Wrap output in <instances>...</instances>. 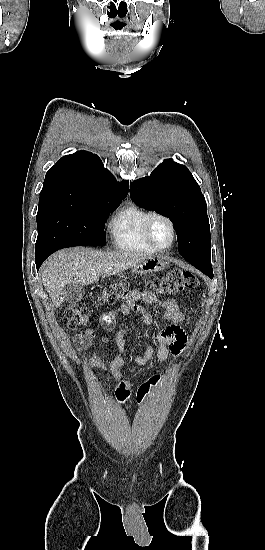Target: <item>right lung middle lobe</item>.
Returning <instances> with one entry per match:
<instances>
[{
	"instance_id": "dd1d6c3e",
	"label": "right lung middle lobe",
	"mask_w": 265,
	"mask_h": 550,
	"mask_svg": "<svg viewBox=\"0 0 265 550\" xmlns=\"http://www.w3.org/2000/svg\"><path fill=\"white\" fill-rule=\"evenodd\" d=\"M122 199L92 198L79 201L39 199L35 255L73 246H104V225Z\"/></svg>"
}]
</instances>
